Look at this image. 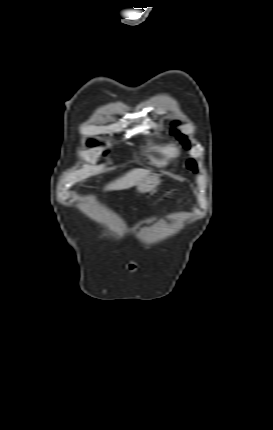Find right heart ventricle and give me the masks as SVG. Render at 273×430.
I'll return each instance as SVG.
<instances>
[{
  "label": "right heart ventricle",
  "mask_w": 273,
  "mask_h": 430,
  "mask_svg": "<svg viewBox=\"0 0 273 430\" xmlns=\"http://www.w3.org/2000/svg\"><path fill=\"white\" fill-rule=\"evenodd\" d=\"M145 153L152 165L161 167L169 164L172 148L169 144L150 139L145 147Z\"/></svg>",
  "instance_id": "1"
}]
</instances>
